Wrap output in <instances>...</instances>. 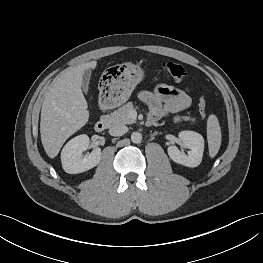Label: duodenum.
Wrapping results in <instances>:
<instances>
[{
	"instance_id": "obj_1",
	"label": "duodenum",
	"mask_w": 263,
	"mask_h": 263,
	"mask_svg": "<svg viewBox=\"0 0 263 263\" xmlns=\"http://www.w3.org/2000/svg\"><path fill=\"white\" fill-rule=\"evenodd\" d=\"M101 107L105 110L108 109V106L105 103H101ZM108 123H109V119L107 117H103L99 119L95 123V126H94L95 131L98 133L103 132L107 128Z\"/></svg>"
}]
</instances>
